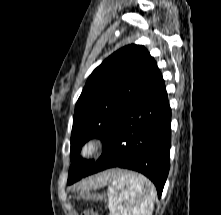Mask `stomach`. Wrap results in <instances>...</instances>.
Wrapping results in <instances>:
<instances>
[{
  "mask_svg": "<svg viewBox=\"0 0 221 215\" xmlns=\"http://www.w3.org/2000/svg\"><path fill=\"white\" fill-rule=\"evenodd\" d=\"M80 198L83 199H87V200H102L103 196L100 194H94V193H90L89 190H85L83 192H81V194L79 195Z\"/></svg>",
  "mask_w": 221,
  "mask_h": 215,
  "instance_id": "stomach-1",
  "label": "stomach"
}]
</instances>
